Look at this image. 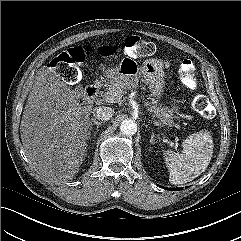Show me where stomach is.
I'll return each instance as SVG.
<instances>
[{"instance_id": "0dacf381", "label": "stomach", "mask_w": 241, "mask_h": 241, "mask_svg": "<svg viewBox=\"0 0 241 241\" xmlns=\"http://www.w3.org/2000/svg\"><path fill=\"white\" fill-rule=\"evenodd\" d=\"M115 81L123 89L135 87L138 81L147 85L153 97L160 96L164 86V70L160 61L149 59L139 66L135 61L124 59L115 75ZM156 116L163 122H169L171 115L166 108H154Z\"/></svg>"}]
</instances>
